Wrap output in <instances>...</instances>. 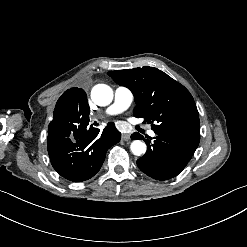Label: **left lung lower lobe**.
Segmentation results:
<instances>
[{"mask_svg": "<svg viewBox=\"0 0 247 247\" xmlns=\"http://www.w3.org/2000/svg\"><path fill=\"white\" fill-rule=\"evenodd\" d=\"M132 139H143L146 154L137 160L139 169L156 180H167L178 175L192 158L196 146L168 135H157L154 142L134 133ZM151 139V138H150Z\"/></svg>", "mask_w": 247, "mask_h": 247, "instance_id": "left-lung-lower-lobe-1", "label": "left lung lower lobe"}]
</instances>
